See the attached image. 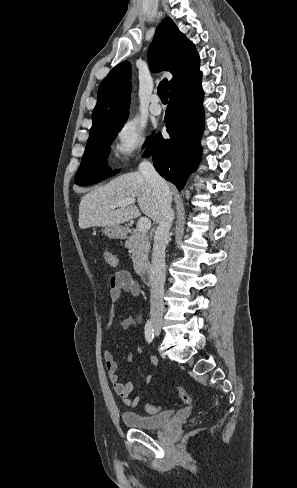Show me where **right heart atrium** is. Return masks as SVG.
Returning a JSON list of instances; mask_svg holds the SVG:
<instances>
[{
    "mask_svg": "<svg viewBox=\"0 0 297 488\" xmlns=\"http://www.w3.org/2000/svg\"><path fill=\"white\" fill-rule=\"evenodd\" d=\"M149 146L145 126L135 118L124 121L115 135V153L121 161H128L147 151Z\"/></svg>",
    "mask_w": 297,
    "mask_h": 488,
    "instance_id": "obj_1",
    "label": "right heart atrium"
}]
</instances>
